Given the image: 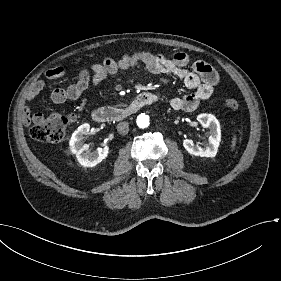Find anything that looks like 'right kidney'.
Segmentation results:
<instances>
[{"instance_id": "1", "label": "right kidney", "mask_w": 281, "mask_h": 281, "mask_svg": "<svg viewBox=\"0 0 281 281\" xmlns=\"http://www.w3.org/2000/svg\"><path fill=\"white\" fill-rule=\"evenodd\" d=\"M90 134V125L84 123L73 132L69 141L71 152L76 155L78 162L84 167H93L100 163L107 157L109 150L108 146H105L91 152L89 145L84 143Z\"/></svg>"}]
</instances>
